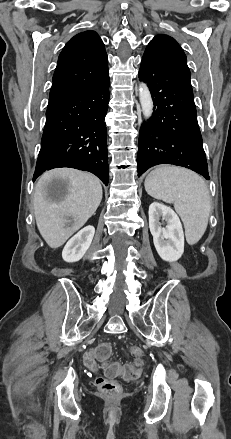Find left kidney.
<instances>
[{"instance_id":"left-kidney-1","label":"left kidney","mask_w":231,"mask_h":439,"mask_svg":"<svg viewBox=\"0 0 231 439\" xmlns=\"http://www.w3.org/2000/svg\"><path fill=\"white\" fill-rule=\"evenodd\" d=\"M166 221L161 227L160 218ZM149 228L159 256L168 262L177 261L184 252V233L177 214L168 206L153 202L149 206Z\"/></svg>"}]
</instances>
